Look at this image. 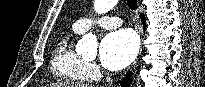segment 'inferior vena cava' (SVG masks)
Wrapping results in <instances>:
<instances>
[{
    "mask_svg": "<svg viewBox=\"0 0 205 87\" xmlns=\"http://www.w3.org/2000/svg\"><path fill=\"white\" fill-rule=\"evenodd\" d=\"M106 80H107V82H112L110 77H107Z\"/></svg>",
    "mask_w": 205,
    "mask_h": 87,
    "instance_id": "1",
    "label": "inferior vena cava"
}]
</instances>
